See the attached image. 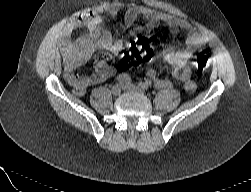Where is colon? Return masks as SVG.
Wrapping results in <instances>:
<instances>
[{
    "instance_id": "1",
    "label": "colon",
    "mask_w": 251,
    "mask_h": 192,
    "mask_svg": "<svg viewBox=\"0 0 251 192\" xmlns=\"http://www.w3.org/2000/svg\"><path fill=\"white\" fill-rule=\"evenodd\" d=\"M156 55V48L152 37L143 35L132 42L122 51V58L130 65L149 61ZM212 55L200 52L196 57V68L199 71L208 69L212 63Z\"/></svg>"
}]
</instances>
